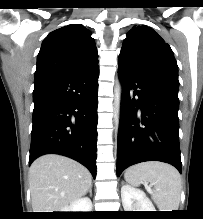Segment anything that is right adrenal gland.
Returning <instances> with one entry per match:
<instances>
[{"instance_id":"right-adrenal-gland-1","label":"right adrenal gland","mask_w":203,"mask_h":219,"mask_svg":"<svg viewBox=\"0 0 203 219\" xmlns=\"http://www.w3.org/2000/svg\"><path fill=\"white\" fill-rule=\"evenodd\" d=\"M87 192H89V194H90V197H92V184L90 185V187H89V189H88V191Z\"/></svg>"}]
</instances>
